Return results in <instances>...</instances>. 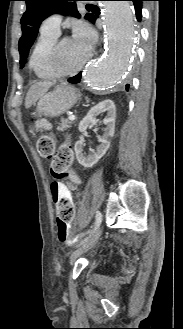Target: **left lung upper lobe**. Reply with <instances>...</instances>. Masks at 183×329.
Returning <instances> with one entry per match:
<instances>
[{
  "label": "left lung upper lobe",
  "instance_id": "1",
  "mask_svg": "<svg viewBox=\"0 0 183 329\" xmlns=\"http://www.w3.org/2000/svg\"><path fill=\"white\" fill-rule=\"evenodd\" d=\"M27 10L21 18L22 37L19 40L20 68H23L29 49L36 39L41 22L53 13L67 14L79 18L75 0H23ZM69 2V3H68ZM85 18L94 21V15L88 13Z\"/></svg>",
  "mask_w": 183,
  "mask_h": 329
}]
</instances>
